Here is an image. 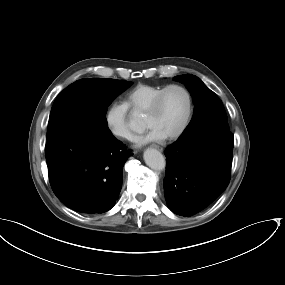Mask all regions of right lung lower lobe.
<instances>
[{"instance_id": "right-lung-lower-lobe-1", "label": "right lung lower lobe", "mask_w": 285, "mask_h": 285, "mask_svg": "<svg viewBox=\"0 0 285 285\" xmlns=\"http://www.w3.org/2000/svg\"><path fill=\"white\" fill-rule=\"evenodd\" d=\"M131 155L108 127L90 119L70 124L45 146L53 192L85 214L104 213L115 205Z\"/></svg>"}]
</instances>
